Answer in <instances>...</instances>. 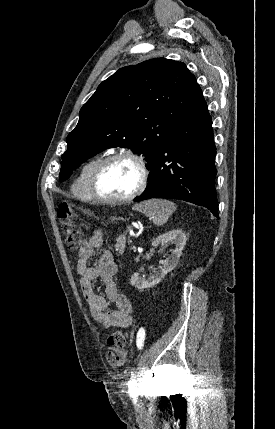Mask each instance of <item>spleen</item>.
Segmentation results:
<instances>
[{
  "label": "spleen",
  "instance_id": "3e777b00",
  "mask_svg": "<svg viewBox=\"0 0 275 429\" xmlns=\"http://www.w3.org/2000/svg\"><path fill=\"white\" fill-rule=\"evenodd\" d=\"M132 209L152 219L155 225L162 226L176 210V205L169 200L150 199L134 205Z\"/></svg>",
  "mask_w": 275,
  "mask_h": 429
}]
</instances>
